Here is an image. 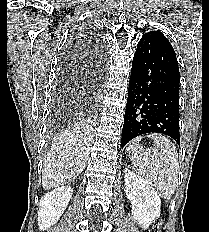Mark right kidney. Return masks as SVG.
Here are the masks:
<instances>
[{
    "mask_svg": "<svg viewBox=\"0 0 209 232\" xmlns=\"http://www.w3.org/2000/svg\"><path fill=\"white\" fill-rule=\"evenodd\" d=\"M70 186H61L45 194L39 202L38 226L42 231L48 230L59 220L72 197Z\"/></svg>",
    "mask_w": 209,
    "mask_h": 232,
    "instance_id": "ca27d5eb",
    "label": "right kidney"
}]
</instances>
